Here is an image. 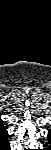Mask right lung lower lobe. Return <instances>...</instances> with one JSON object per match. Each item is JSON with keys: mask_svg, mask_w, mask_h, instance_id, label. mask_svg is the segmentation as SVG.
I'll return each mask as SVG.
<instances>
[{"mask_svg": "<svg viewBox=\"0 0 51 150\" xmlns=\"http://www.w3.org/2000/svg\"><path fill=\"white\" fill-rule=\"evenodd\" d=\"M2 150H10V145L8 142L2 146Z\"/></svg>", "mask_w": 51, "mask_h": 150, "instance_id": "right-lung-lower-lobe-1", "label": "right lung lower lobe"}]
</instances>
